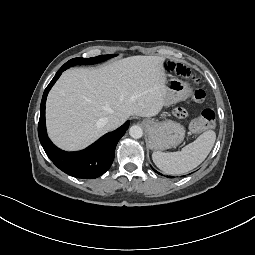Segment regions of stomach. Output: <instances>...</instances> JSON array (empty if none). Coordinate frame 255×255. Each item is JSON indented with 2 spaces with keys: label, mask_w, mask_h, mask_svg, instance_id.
Here are the masks:
<instances>
[{
  "label": "stomach",
  "mask_w": 255,
  "mask_h": 255,
  "mask_svg": "<svg viewBox=\"0 0 255 255\" xmlns=\"http://www.w3.org/2000/svg\"><path fill=\"white\" fill-rule=\"evenodd\" d=\"M166 106L184 100L189 92V84L173 79L168 83ZM143 124L148 133V146L154 151L170 149L179 145L185 137V128L177 122L166 120L163 122L147 119Z\"/></svg>",
  "instance_id": "0dacf381"
}]
</instances>
